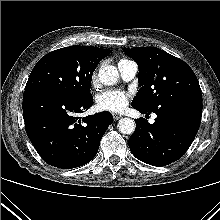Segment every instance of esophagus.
I'll return each instance as SVG.
<instances>
[{
  "label": "esophagus",
  "instance_id": "34e87169",
  "mask_svg": "<svg viewBox=\"0 0 220 220\" xmlns=\"http://www.w3.org/2000/svg\"><path fill=\"white\" fill-rule=\"evenodd\" d=\"M122 116L119 115V114H113V119L116 121V120H119Z\"/></svg>",
  "mask_w": 220,
  "mask_h": 220
}]
</instances>
